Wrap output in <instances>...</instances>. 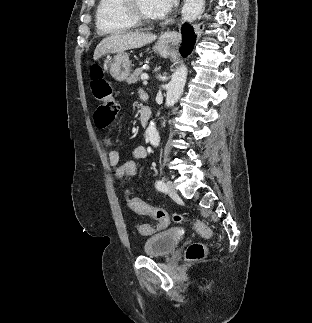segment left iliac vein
<instances>
[{
    "label": "left iliac vein",
    "mask_w": 312,
    "mask_h": 323,
    "mask_svg": "<svg viewBox=\"0 0 312 323\" xmlns=\"http://www.w3.org/2000/svg\"><path fill=\"white\" fill-rule=\"evenodd\" d=\"M165 189L168 195H175L176 189L172 181L168 180L165 185Z\"/></svg>",
    "instance_id": "left-iliac-vein-1"
}]
</instances>
